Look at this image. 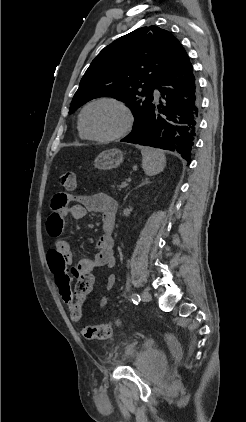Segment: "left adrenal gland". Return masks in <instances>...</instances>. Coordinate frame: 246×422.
<instances>
[{
	"instance_id": "left-adrenal-gland-1",
	"label": "left adrenal gland",
	"mask_w": 246,
	"mask_h": 422,
	"mask_svg": "<svg viewBox=\"0 0 246 422\" xmlns=\"http://www.w3.org/2000/svg\"><path fill=\"white\" fill-rule=\"evenodd\" d=\"M149 183H150V181L148 179H146V180L142 181L139 185H137L135 189H138V188H140V187H142L144 185H147ZM129 194H130V192L127 193V195L125 196L124 200L127 199V197H128Z\"/></svg>"
}]
</instances>
